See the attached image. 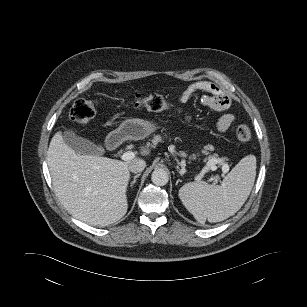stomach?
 <instances>
[{"instance_id":"obj_1","label":"stomach","mask_w":307,"mask_h":307,"mask_svg":"<svg viewBox=\"0 0 307 307\" xmlns=\"http://www.w3.org/2000/svg\"><path fill=\"white\" fill-rule=\"evenodd\" d=\"M158 128L157 124L148 120L132 118L123 121L120 126L113 131L122 140H140Z\"/></svg>"}]
</instances>
